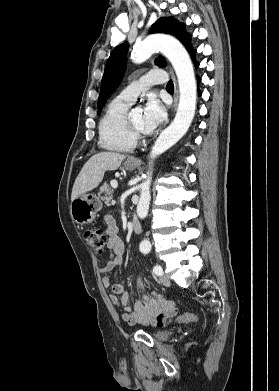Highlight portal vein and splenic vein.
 <instances>
[{
    "label": "portal vein and splenic vein",
    "instance_id": "portal-vein-and-splenic-vein-1",
    "mask_svg": "<svg viewBox=\"0 0 279 391\" xmlns=\"http://www.w3.org/2000/svg\"><path fill=\"white\" fill-rule=\"evenodd\" d=\"M111 185H112L114 188H117L118 183H117V181H112V182H111Z\"/></svg>",
    "mask_w": 279,
    "mask_h": 391
}]
</instances>
